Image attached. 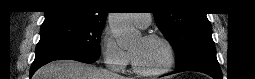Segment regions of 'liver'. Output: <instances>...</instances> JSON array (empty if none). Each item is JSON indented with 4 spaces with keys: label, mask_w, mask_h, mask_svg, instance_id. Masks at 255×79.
Instances as JSON below:
<instances>
[{
    "label": "liver",
    "mask_w": 255,
    "mask_h": 79,
    "mask_svg": "<svg viewBox=\"0 0 255 79\" xmlns=\"http://www.w3.org/2000/svg\"><path fill=\"white\" fill-rule=\"evenodd\" d=\"M33 79H125L109 70L75 60H57L41 67Z\"/></svg>",
    "instance_id": "liver-1"
}]
</instances>
